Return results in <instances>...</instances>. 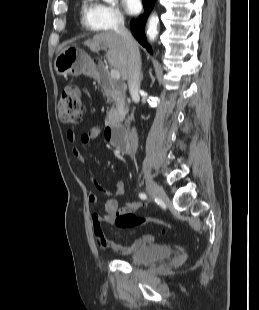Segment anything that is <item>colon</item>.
Listing matches in <instances>:
<instances>
[{"label": "colon", "instance_id": "colon-1", "mask_svg": "<svg viewBox=\"0 0 259 310\" xmlns=\"http://www.w3.org/2000/svg\"><path fill=\"white\" fill-rule=\"evenodd\" d=\"M57 112L60 120L64 123H77L83 114V103L80 90L76 85H66L58 101ZM149 223L155 226L170 228L171 224L158 218H144L137 216L131 211L120 213L115 220V225L119 229L134 230L135 228Z\"/></svg>", "mask_w": 259, "mask_h": 310}]
</instances>
